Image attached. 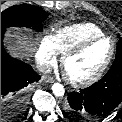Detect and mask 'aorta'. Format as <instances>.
Instances as JSON below:
<instances>
[{
	"label": "aorta",
	"instance_id": "1",
	"mask_svg": "<svg viewBox=\"0 0 122 122\" xmlns=\"http://www.w3.org/2000/svg\"><path fill=\"white\" fill-rule=\"evenodd\" d=\"M52 92L57 97H63L65 93V89L62 84L54 83L52 86Z\"/></svg>",
	"mask_w": 122,
	"mask_h": 122
}]
</instances>
